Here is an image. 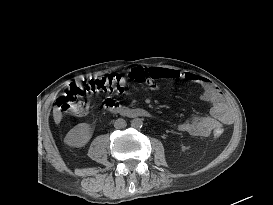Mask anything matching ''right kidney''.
Segmentation results:
<instances>
[{
  "label": "right kidney",
  "mask_w": 273,
  "mask_h": 205,
  "mask_svg": "<svg viewBox=\"0 0 273 205\" xmlns=\"http://www.w3.org/2000/svg\"><path fill=\"white\" fill-rule=\"evenodd\" d=\"M72 138L74 146H84L91 138L92 131L90 125L87 123H81L76 125L69 133Z\"/></svg>",
  "instance_id": "obj_1"
}]
</instances>
